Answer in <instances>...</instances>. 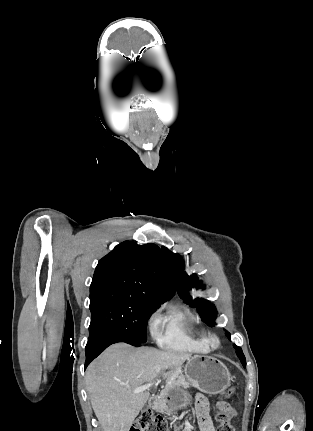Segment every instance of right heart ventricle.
Instances as JSON below:
<instances>
[{
  "label": "right heart ventricle",
  "instance_id": "right-heart-ventricle-1",
  "mask_svg": "<svg viewBox=\"0 0 313 431\" xmlns=\"http://www.w3.org/2000/svg\"><path fill=\"white\" fill-rule=\"evenodd\" d=\"M161 329L157 332L158 342L165 348L187 351L207 352L210 347L207 336L202 331L191 334L187 313L180 307L170 308L161 318Z\"/></svg>",
  "mask_w": 313,
  "mask_h": 431
}]
</instances>
